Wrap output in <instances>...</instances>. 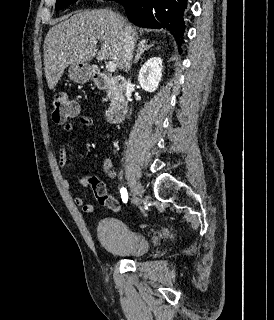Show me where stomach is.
<instances>
[{"instance_id": "obj_1", "label": "stomach", "mask_w": 274, "mask_h": 320, "mask_svg": "<svg viewBox=\"0 0 274 320\" xmlns=\"http://www.w3.org/2000/svg\"><path fill=\"white\" fill-rule=\"evenodd\" d=\"M93 74V66L90 64H71L70 66L69 76L77 84H85L91 80Z\"/></svg>"}]
</instances>
